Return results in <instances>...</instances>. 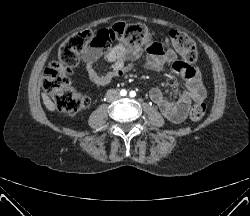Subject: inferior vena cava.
I'll return each mask as SVG.
<instances>
[{"instance_id": "obj_1", "label": "inferior vena cava", "mask_w": 250, "mask_h": 216, "mask_svg": "<svg viewBox=\"0 0 250 216\" xmlns=\"http://www.w3.org/2000/svg\"><path fill=\"white\" fill-rule=\"evenodd\" d=\"M106 98H107V101L112 102V101H115V100L119 99L120 94H119L118 91H116L114 89H111V90L107 91Z\"/></svg>"}]
</instances>
